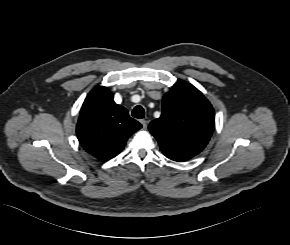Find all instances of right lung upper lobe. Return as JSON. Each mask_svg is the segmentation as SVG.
<instances>
[{
    "label": "right lung upper lobe",
    "mask_w": 290,
    "mask_h": 245,
    "mask_svg": "<svg viewBox=\"0 0 290 245\" xmlns=\"http://www.w3.org/2000/svg\"><path fill=\"white\" fill-rule=\"evenodd\" d=\"M141 127L123 106L114 102L108 88L98 86L82 105L76 132L88 153L106 161L118 155L127 139Z\"/></svg>",
    "instance_id": "right-lung-upper-lobe-1"
}]
</instances>
